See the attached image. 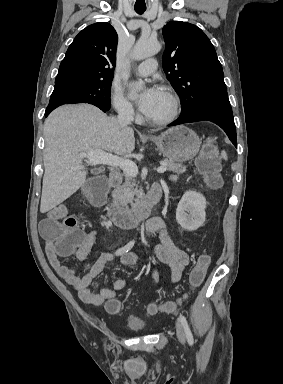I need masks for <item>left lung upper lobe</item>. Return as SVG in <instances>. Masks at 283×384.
<instances>
[{
  "mask_svg": "<svg viewBox=\"0 0 283 384\" xmlns=\"http://www.w3.org/2000/svg\"><path fill=\"white\" fill-rule=\"evenodd\" d=\"M163 69L181 99L180 117L203 108L230 106L214 46L196 25L171 21L163 27Z\"/></svg>",
  "mask_w": 283,
  "mask_h": 384,
  "instance_id": "5c2ea615",
  "label": "left lung upper lobe"
}]
</instances>
